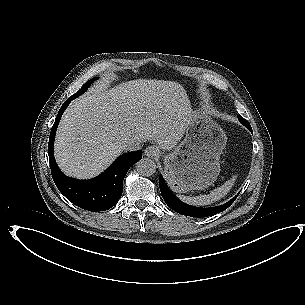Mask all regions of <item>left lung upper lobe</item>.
<instances>
[{"label": "left lung upper lobe", "mask_w": 305, "mask_h": 305, "mask_svg": "<svg viewBox=\"0 0 305 305\" xmlns=\"http://www.w3.org/2000/svg\"><path fill=\"white\" fill-rule=\"evenodd\" d=\"M239 121L246 126L250 131H252L250 124L242 117H238ZM179 211L177 213L190 216V217H207V210L205 208L193 207L184 203H180Z\"/></svg>", "instance_id": "obj_1"}]
</instances>
